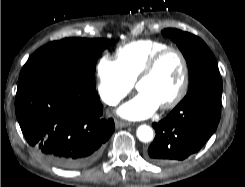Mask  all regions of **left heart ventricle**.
Instances as JSON below:
<instances>
[{"label": "left heart ventricle", "instance_id": "obj_1", "mask_svg": "<svg viewBox=\"0 0 245 187\" xmlns=\"http://www.w3.org/2000/svg\"><path fill=\"white\" fill-rule=\"evenodd\" d=\"M182 79V64L175 53L166 54L153 73L144 79L137 90L147 93L159 106L177 92Z\"/></svg>", "mask_w": 245, "mask_h": 187}]
</instances>
